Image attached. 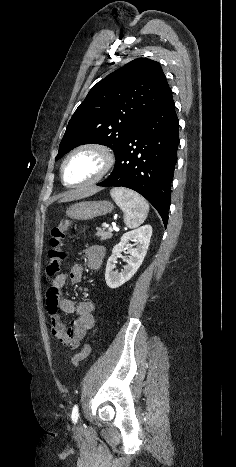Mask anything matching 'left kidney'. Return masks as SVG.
<instances>
[{"label": "left kidney", "mask_w": 236, "mask_h": 467, "mask_svg": "<svg viewBox=\"0 0 236 467\" xmlns=\"http://www.w3.org/2000/svg\"><path fill=\"white\" fill-rule=\"evenodd\" d=\"M151 235L152 227L150 225H144L136 230L123 234L120 242L114 246L112 255L107 261L105 280L109 288L115 289L120 287L137 272L146 256ZM130 241L136 242L135 248L133 247L134 245L129 243ZM123 249H127L130 254V257L126 259L127 265L120 273L114 272V263Z\"/></svg>", "instance_id": "5707ae66"}]
</instances>
